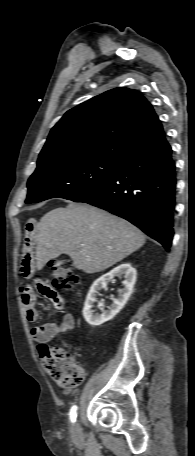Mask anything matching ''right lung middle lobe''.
Here are the masks:
<instances>
[{"label": "right lung middle lobe", "mask_w": 195, "mask_h": 456, "mask_svg": "<svg viewBox=\"0 0 195 456\" xmlns=\"http://www.w3.org/2000/svg\"><path fill=\"white\" fill-rule=\"evenodd\" d=\"M120 168V163L99 158H63L39 164L28 180L26 203L54 197L73 200L86 194Z\"/></svg>", "instance_id": "obj_1"}]
</instances>
